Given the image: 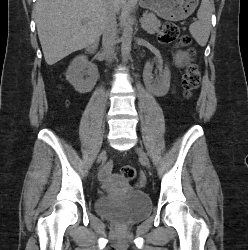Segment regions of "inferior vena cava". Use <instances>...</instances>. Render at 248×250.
<instances>
[{
  "instance_id": "inferior-vena-cava-1",
  "label": "inferior vena cava",
  "mask_w": 248,
  "mask_h": 250,
  "mask_svg": "<svg viewBox=\"0 0 248 250\" xmlns=\"http://www.w3.org/2000/svg\"><path fill=\"white\" fill-rule=\"evenodd\" d=\"M117 35V22H116V8L114 4L108 7L105 19H104V27H103V52L108 61H111L114 57V45Z\"/></svg>"
}]
</instances>
